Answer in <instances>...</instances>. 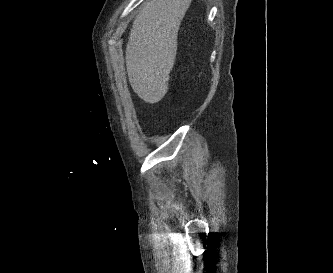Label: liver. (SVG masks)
Wrapping results in <instances>:
<instances>
[{
	"instance_id": "obj_1",
	"label": "liver",
	"mask_w": 333,
	"mask_h": 273,
	"mask_svg": "<svg viewBox=\"0 0 333 273\" xmlns=\"http://www.w3.org/2000/svg\"><path fill=\"white\" fill-rule=\"evenodd\" d=\"M191 0H150L135 18L126 46L133 91L146 103L159 102L168 89L180 23Z\"/></svg>"
}]
</instances>
